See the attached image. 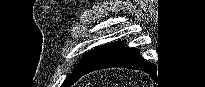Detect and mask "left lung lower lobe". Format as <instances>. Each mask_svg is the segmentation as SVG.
Returning a JSON list of instances; mask_svg holds the SVG:
<instances>
[{"mask_svg": "<svg viewBox=\"0 0 205 87\" xmlns=\"http://www.w3.org/2000/svg\"><path fill=\"white\" fill-rule=\"evenodd\" d=\"M139 53V49L125 48L122 42L103 45L92 63L81 73L80 78L84 74L112 67L142 70L151 75L154 68L153 64L145 62Z\"/></svg>", "mask_w": 205, "mask_h": 87, "instance_id": "0a47b994", "label": "left lung lower lobe"}]
</instances>
